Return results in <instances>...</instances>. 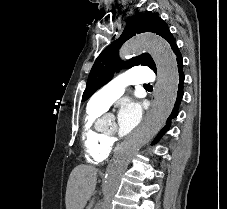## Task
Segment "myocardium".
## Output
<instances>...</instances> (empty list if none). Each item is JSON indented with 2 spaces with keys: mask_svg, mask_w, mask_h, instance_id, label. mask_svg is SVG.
Returning a JSON list of instances; mask_svg holds the SVG:
<instances>
[{
  "mask_svg": "<svg viewBox=\"0 0 227 209\" xmlns=\"http://www.w3.org/2000/svg\"><path fill=\"white\" fill-rule=\"evenodd\" d=\"M104 135L109 139L113 140L116 137V133H104Z\"/></svg>",
  "mask_w": 227,
  "mask_h": 209,
  "instance_id": "obj_1",
  "label": "myocardium"
}]
</instances>
